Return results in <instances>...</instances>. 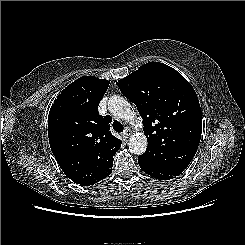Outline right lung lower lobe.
Instances as JSON below:
<instances>
[{
  "mask_svg": "<svg viewBox=\"0 0 245 245\" xmlns=\"http://www.w3.org/2000/svg\"><path fill=\"white\" fill-rule=\"evenodd\" d=\"M113 156H108L106 158H100V162H97L98 168L102 174V179L106 178L112 172ZM68 178H70L75 183L79 184V177L76 171L71 167H61Z\"/></svg>",
  "mask_w": 245,
  "mask_h": 245,
  "instance_id": "1",
  "label": "right lung lower lobe"
}]
</instances>
